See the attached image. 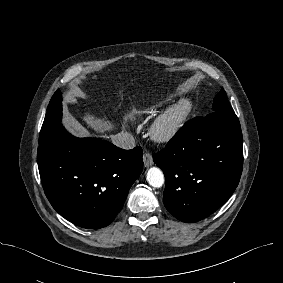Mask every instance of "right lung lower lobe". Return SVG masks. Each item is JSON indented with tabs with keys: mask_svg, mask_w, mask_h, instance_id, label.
<instances>
[{
	"mask_svg": "<svg viewBox=\"0 0 283 283\" xmlns=\"http://www.w3.org/2000/svg\"><path fill=\"white\" fill-rule=\"evenodd\" d=\"M38 168L53 208L73 224L99 229L123 208L143 169L141 147L123 150L96 138H76L62 125L38 148Z\"/></svg>",
	"mask_w": 283,
	"mask_h": 283,
	"instance_id": "98d812e1",
	"label": "right lung lower lobe"
}]
</instances>
